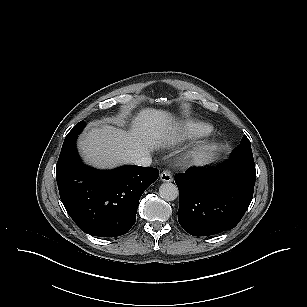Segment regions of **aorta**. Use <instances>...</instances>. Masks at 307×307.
<instances>
[{
    "instance_id": "1",
    "label": "aorta",
    "mask_w": 307,
    "mask_h": 307,
    "mask_svg": "<svg viewBox=\"0 0 307 307\" xmlns=\"http://www.w3.org/2000/svg\"><path fill=\"white\" fill-rule=\"evenodd\" d=\"M159 195L166 201H173L178 197L179 191L175 184L166 182L159 187Z\"/></svg>"
}]
</instances>
